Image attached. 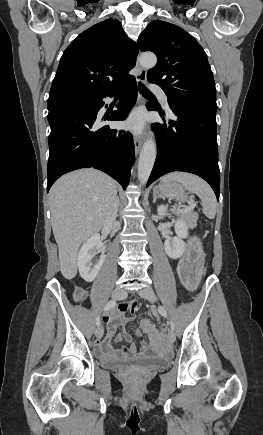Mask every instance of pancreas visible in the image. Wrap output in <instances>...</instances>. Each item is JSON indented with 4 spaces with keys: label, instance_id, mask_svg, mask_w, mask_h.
Listing matches in <instances>:
<instances>
[{
    "label": "pancreas",
    "instance_id": "1",
    "mask_svg": "<svg viewBox=\"0 0 263 435\" xmlns=\"http://www.w3.org/2000/svg\"><path fill=\"white\" fill-rule=\"evenodd\" d=\"M174 213L181 215L182 218H184L186 221L189 222V224H191V226H196L198 220L197 212H194L193 210L186 211V210L177 209L174 210Z\"/></svg>",
    "mask_w": 263,
    "mask_h": 435
}]
</instances>
